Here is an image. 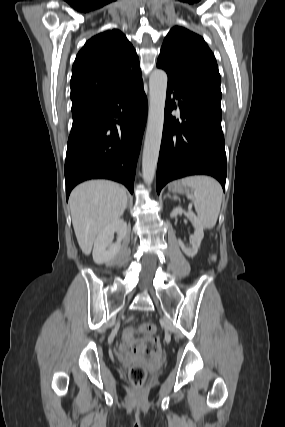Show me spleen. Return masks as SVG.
Segmentation results:
<instances>
[{"mask_svg": "<svg viewBox=\"0 0 285 427\" xmlns=\"http://www.w3.org/2000/svg\"><path fill=\"white\" fill-rule=\"evenodd\" d=\"M181 183L193 189V193L187 194V197L193 201L201 224L206 228H213L221 208V185L215 179L202 175L183 178Z\"/></svg>", "mask_w": 285, "mask_h": 427, "instance_id": "obj_1", "label": "spleen"}]
</instances>
